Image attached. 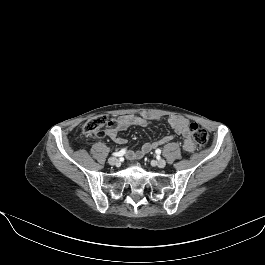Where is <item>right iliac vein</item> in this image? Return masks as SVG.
Masks as SVG:
<instances>
[{"label":"right iliac vein","mask_w":265,"mask_h":265,"mask_svg":"<svg viewBox=\"0 0 265 265\" xmlns=\"http://www.w3.org/2000/svg\"><path fill=\"white\" fill-rule=\"evenodd\" d=\"M110 165H118L119 164V160L116 157H111L108 160Z\"/></svg>","instance_id":"63e3f726"}]
</instances>
